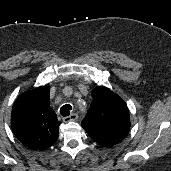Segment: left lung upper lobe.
<instances>
[{
  "label": "left lung upper lobe",
  "mask_w": 171,
  "mask_h": 171,
  "mask_svg": "<svg viewBox=\"0 0 171 171\" xmlns=\"http://www.w3.org/2000/svg\"><path fill=\"white\" fill-rule=\"evenodd\" d=\"M93 101L81 125L90 138L110 147L125 138L130 130L129 110L111 90L99 86L92 91Z\"/></svg>",
  "instance_id": "left-lung-upper-lobe-1"
}]
</instances>
